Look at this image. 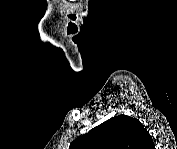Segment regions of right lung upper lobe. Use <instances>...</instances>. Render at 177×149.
I'll return each mask as SVG.
<instances>
[{
	"label": "right lung upper lobe",
	"instance_id": "right-lung-upper-lobe-1",
	"mask_svg": "<svg viewBox=\"0 0 177 149\" xmlns=\"http://www.w3.org/2000/svg\"><path fill=\"white\" fill-rule=\"evenodd\" d=\"M148 131L141 122L127 115L115 116L75 139L69 149H148Z\"/></svg>",
	"mask_w": 177,
	"mask_h": 149
}]
</instances>
